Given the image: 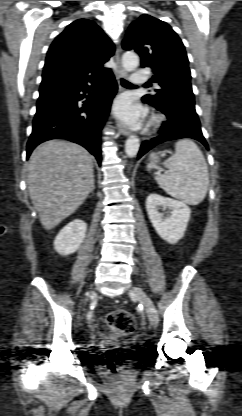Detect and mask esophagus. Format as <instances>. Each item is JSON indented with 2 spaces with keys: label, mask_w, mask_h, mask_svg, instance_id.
I'll list each match as a JSON object with an SVG mask.
<instances>
[{
  "label": "esophagus",
  "mask_w": 242,
  "mask_h": 416,
  "mask_svg": "<svg viewBox=\"0 0 242 416\" xmlns=\"http://www.w3.org/2000/svg\"><path fill=\"white\" fill-rule=\"evenodd\" d=\"M115 61H116V64H117L116 77H117L118 80H120L121 78H124V77L127 76V72L121 66V62H120V51H119V49H117V51H116ZM117 128H118L119 132L122 135H124V136L130 135L129 130H127L123 124L118 123L117 124Z\"/></svg>",
  "instance_id": "34e87169"
}]
</instances>
